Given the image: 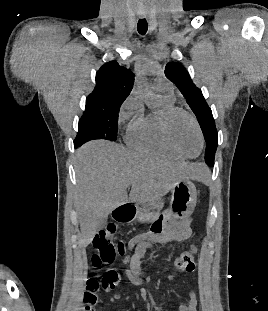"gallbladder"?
Returning a JSON list of instances; mask_svg holds the SVG:
<instances>
[{"label":"gallbladder","instance_id":"1","mask_svg":"<svg viewBox=\"0 0 268 311\" xmlns=\"http://www.w3.org/2000/svg\"><path fill=\"white\" fill-rule=\"evenodd\" d=\"M105 226V221L102 223V227Z\"/></svg>","mask_w":268,"mask_h":311}]
</instances>
